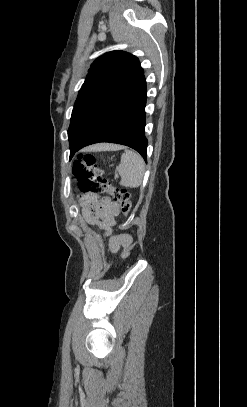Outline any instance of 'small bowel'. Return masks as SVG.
I'll use <instances>...</instances> for the list:
<instances>
[{
    "label": "small bowel",
    "instance_id": "obj_1",
    "mask_svg": "<svg viewBox=\"0 0 247 407\" xmlns=\"http://www.w3.org/2000/svg\"><path fill=\"white\" fill-rule=\"evenodd\" d=\"M118 214V205L109 199H91L84 210L86 220L104 230L105 236L109 237V249L112 253L118 252L120 248L127 249L132 243L131 236L127 234L111 235V228L114 226Z\"/></svg>",
    "mask_w": 247,
    "mask_h": 407
}]
</instances>
